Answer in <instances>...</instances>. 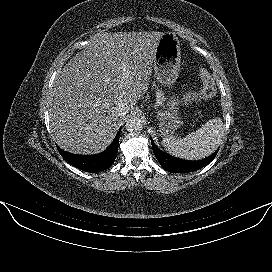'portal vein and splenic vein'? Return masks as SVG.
<instances>
[{
	"label": "portal vein and splenic vein",
	"mask_w": 272,
	"mask_h": 272,
	"mask_svg": "<svg viewBox=\"0 0 272 272\" xmlns=\"http://www.w3.org/2000/svg\"><path fill=\"white\" fill-rule=\"evenodd\" d=\"M123 72H124V75H125L126 77H128V75H127V73H126V70H125V69L123 70Z\"/></svg>",
	"instance_id": "obj_1"
}]
</instances>
